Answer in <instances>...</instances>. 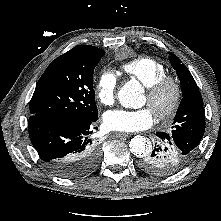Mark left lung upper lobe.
Wrapping results in <instances>:
<instances>
[{
	"label": "left lung upper lobe",
	"mask_w": 221,
	"mask_h": 221,
	"mask_svg": "<svg viewBox=\"0 0 221 221\" xmlns=\"http://www.w3.org/2000/svg\"><path fill=\"white\" fill-rule=\"evenodd\" d=\"M169 60L180 79L183 96L169 134L185 155L192 157L205 131L203 100L188 68L173 53Z\"/></svg>",
	"instance_id": "obj_1"
}]
</instances>
